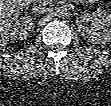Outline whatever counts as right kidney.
Masks as SVG:
<instances>
[{
	"label": "right kidney",
	"mask_w": 111,
	"mask_h": 106,
	"mask_svg": "<svg viewBox=\"0 0 111 106\" xmlns=\"http://www.w3.org/2000/svg\"><path fill=\"white\" fill-rule=\"evenodd\" d=\"M34 29L32 19L21 18L16 21L12 28L11 38L16 40L26 39Z\"/></svg>",
	"instance_id": "1"
}]
</instances>
